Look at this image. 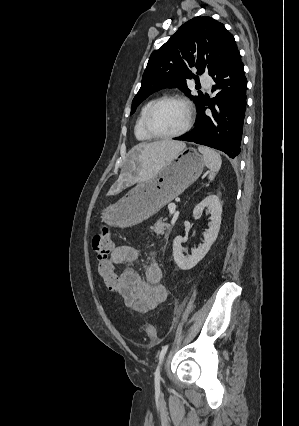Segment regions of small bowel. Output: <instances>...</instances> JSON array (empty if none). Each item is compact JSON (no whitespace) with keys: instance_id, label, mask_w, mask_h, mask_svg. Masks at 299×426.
<instances>
[{"instance_id":"obj_1","label":"small bowel","mask_w":299,"mask_h":426,"mask_svg":"<svg viewBox=\"0 0 299 426\" xmlns=\"http://www.w3.org/2000/svg\"><path fill=\"white\" fill-rule=\"evenodd\" d=\"M110 259L114 267L120 268V297L127 307L144 314L165 301L167 289L162 282L161 268L154 258L144 266V277L135 267L138 251L134 247L117 246Z\"/></svg>"}]
</instances>
